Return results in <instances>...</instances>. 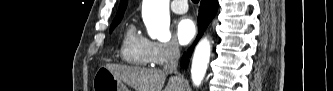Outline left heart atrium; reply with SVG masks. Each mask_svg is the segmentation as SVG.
Wrapping results in <instances>:
<instances>
[{
  "instance_id": "obj_1",
  "label": "left heart atrium",
  "mask_w": 333,
  "mask_h": 91,
  "mask_svg": "<svg viewBox=\"0 0 333 91\" xmlns=\"http://www.w3.org/2000/svg\"><path fill=\"white\" fill-rule=\"evenodd\" d=\"M196 34V26L191 18L185 17L178 21L176 36L180 44H188Z\"/></svg>"
}]
</instances>
